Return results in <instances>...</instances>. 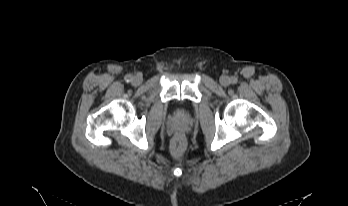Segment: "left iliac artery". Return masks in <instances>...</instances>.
Wrapping results in <instances>:
<instances>
[{"instance_id": "left-iliac-artery-1", "label": "left iliac artery", "mask_w": 348, "mask_h": 206, "mask_svg": "<svg viewBox=\"0 0 348 206\" xmlns=\"http://www.w3.org/2000/svg\"><path fill=\"white\" fill-rule=\"evenodd\" d=\"M231 83H232V84H235V83H237V78H235V77H232V78H231Z\"/></svg>"}]
</instances>
